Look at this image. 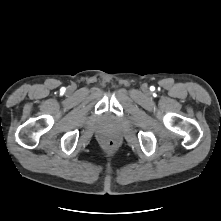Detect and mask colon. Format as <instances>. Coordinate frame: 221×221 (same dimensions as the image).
I'll return each instance as SVG.
<instances>
[{"mask_svg":"<svg viewBox=\"0 0 221 221\" xmlns=\"http://www.w3.org/2000/svg\"><path fill=\"white\" fill-rule=\"evenodd\" d=\"M103 148L105 149V151L111 153V152H114L117 148V143L115 140L113 139H105L103 141Z\"/></svg>","mask_w":221,"mask_h":221,"instance_id":"colon-1","label":"colon"}]
</instances>
